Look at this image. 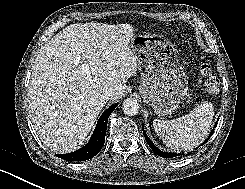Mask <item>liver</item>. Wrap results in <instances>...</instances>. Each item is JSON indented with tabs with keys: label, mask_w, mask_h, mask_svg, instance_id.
Listing matches in <instances>:
<instances>
[{
	"label": "liver",
	"mask_w": 245,
	"mask_h": 189,
	"mask_svg": "<svg viewBox=\"0 0 245 189\" xmlns=\"http://www.w3.org/2000/svg\"><path fill=\"white\" fill-rule=\"evenodd\" d=\"M129 24L77 23L58 32L35 59L28 90L34 127L57 153L76 150L106 104L120 99L137 72Z\"/></svg>",
	"instance_id": "obj_1"
}]
</instances>
